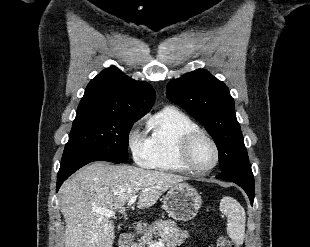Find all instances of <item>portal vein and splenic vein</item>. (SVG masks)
<instances>
[{
	"label": "portal vein and splenic vein",
	"instance_id": "obj_1",
	"mask_svg": "<svg viewBox=\"0 0 310 247\" xmlns=\"http://www.w3.org/2000/svg\"><path fill=\"white\" fill-rule=\"evenodd\" d=\"M138 195L132 196L128 201V206H131L136 202ZM126 211V208L123 207L119 210L120 213H124ZM98 213L105 215L108 218L114 217L116 212L113 210H97ZM148 247H164V244L162 242H153L148 245Z\"/></svg>",
	"mask_w": 310,
	"mask_h": 247
}]
</instances>
